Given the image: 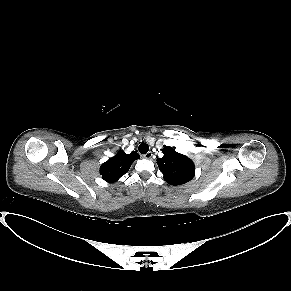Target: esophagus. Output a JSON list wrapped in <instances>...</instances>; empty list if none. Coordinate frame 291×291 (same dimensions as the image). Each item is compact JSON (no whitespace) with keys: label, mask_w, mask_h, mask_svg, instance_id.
Returning a JSON list of instances; mask_svg holds the SVG:
<instances>
[{"label":"esophagus","mask_w":291,"mask_h":291,"mask_svg":"<svg viewBox=\"0 0 291 291\" xmlns=\"http://www.w3.org/2000/svg\"><path fill=\"white\" fill-rule=\"evenodd\" d=\"M152 155H153L152 152H147L146 154L143 155V157L146 159H151Z\"/></svg>","instance_id":"esophagus-1"}]
</instances>
